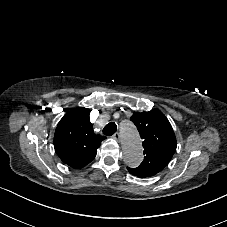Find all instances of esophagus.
Segmentation results:
<instances>
[{
  "instance_id": "obj_1",
  "label": "esophagus",
  "mask_w": 227,
  "mask_h": 227,
  "mask_svg": "<svg viewBox=\"0 0 227 227\" xmlns=\"http://www.w3.org/2000/svg\"><path fill=\"white\" fill-rule=\"evenodd\" d=\"M117 142L120 141V134L117 132L112 136Z\"/></svg>"
}]
</instances>
